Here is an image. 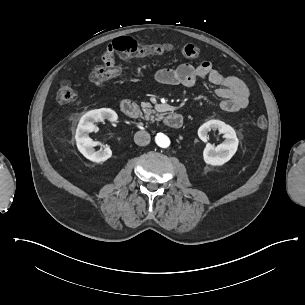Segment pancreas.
<instances>
[{
	"label": "pancreas",
	"mask_w": 305,
	"mask_h": 305,
	"mask_svg": "<svg viewBox=\"0 0 305 305\" xmlns=\"http://www.w3.org/2000/svg\"><path fill=\"white\" fill-rule=\"evenodd\" d=\"M141 107H142V109L145 113L144 118L146 120H151L152 122H154V121H160V120L163 119L162 114H156V111L151 109V104L150 103L142 102ZM153 114H156V115L154 116Z\"/></svg>",
	"instance_id": "pancreas-1"
}]
</instances>
